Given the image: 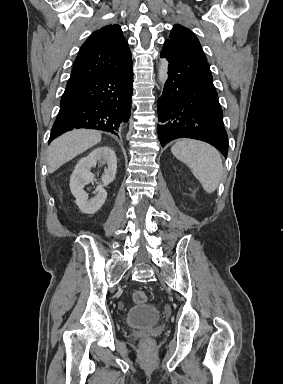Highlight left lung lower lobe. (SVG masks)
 <instances>
[{
    "mask_svg": "<svg viewBox=\"0 0 283 384\" xmlns=\"http://www.w3.org/2000/svg\"><path fill=\"white\" fill-rule=\"evenodd\" d=\"M168 80L158 100L157 133L162 146L186 137L208 142L227 157L228 137L207 60L164 43Z\"/></svg>",
    "mask_w": 283,
    "mask_h": 384,
    "instance_id": "obj_1",
    "label": "left lung lower lobe"
}]
</instances>
